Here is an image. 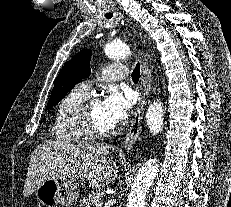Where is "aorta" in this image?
Segmentation results:
<instances>
[{"label":"aorta","instance_id":"762f6f07","mask_svg":"<svg viewBox=\"0 0 231 207\" xmlns=\"http://www.w3.org/2000/svg\"><path fill=\"white\" fill-rule=\"evenodd\" d=\"M105 55L113 60H120L132 54L130 46L124 43H110L105 46ZM164 110L161 102H153L146 113V123L152 134L162 131ZM159 163L157 159L147 160L136 174L131 186L126 207H146L147 192L157 176Z\"/></svg>","mask_w":231,"mask_h":207}]
</instances>
